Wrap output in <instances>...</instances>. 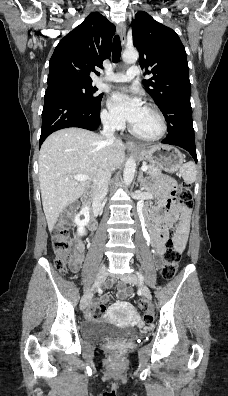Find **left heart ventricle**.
Returning <instances> with one entry per match:
<instances>
[{
	"label": "left heart ventricle",
	"mask_w": 228,
	"mask_h": 396,
	"mask_svg": "<svg viewBox=\"0 0 228 396\" xmlns=\"http://www.w3.org/2000/svg\"><path fill=\"white\" fill-rule=\"evenodd\" d=\"M133 127L141 135L154 136L160 130V123L154 113L143 107L140 116Z\"/></svg>",
	"instance_id": "left-heart-ventricle-1"
}]
</instances>
